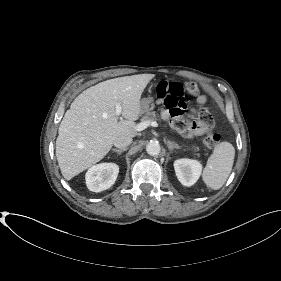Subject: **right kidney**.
Returning a JSON list of instances; mask_svg holds the SVG:
<instances>
[{
    "label": "right kidney",
    "instance_id": "obj_1",
    "mask_svg": "<svg viewBox=\"0 0 281 281\" xmlns=\"http://www.w3.org/2000/svg\"><path fill=\"white\" fill-rule=\"evenodd\" d=\"M119 166L114 163H101L88 169L85 179L90 191L101 192L110 188L116 181Z\"/></svg>",
    "mask_w": 281,
    "mask_h": 281
}]
</instances>
